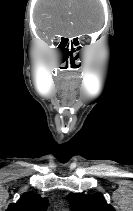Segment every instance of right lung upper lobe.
<instances>
[{
	"mask_svg": "<svg viewBox=\"0 0 133 211\" xmlns=\"http://www.w3.org/2000/svg\"><path fill=\"white\" fill-rule=\"evenodd\" d=\"M48 200L32 193L23 194L17 203L10 204L6 211H46Z\"/></svg>",
	"mask_w": 133,
	"mask_h": 211,
	"instance_id": "right-lung-upper-lobe-1",
	"label": "right lung upper lobe"
}]
</instances>
